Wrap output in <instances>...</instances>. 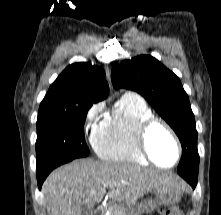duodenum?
Listing matches in <instances>:
<instances>
[{
  "label": "duodenum",
  "mask_w": 221,
  "mask_h": 215,
  "mask_svg": "<svg viewBox=\"0 0 221 215\" xmlns=\"http://www.w3.org/2000/svg\"><path fill=\"white\" fill-rule=\"evenodd\" d=\"M103 209H104L103 206H99V207L97 208V211H96L95 215H101V212L103 211Z\"/></svg>",
  "instance_id": "duodenum-1"
}]
</instances>
